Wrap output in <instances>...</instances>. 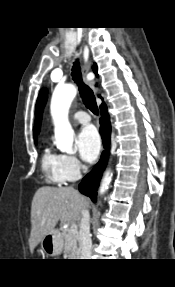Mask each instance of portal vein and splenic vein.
Returning <instances> with one entry per match:
<instances>
[{
  "label": "portal vein and splenic vein",
  "instance_id": "1",
  "mask_svg": "<svg viewBox=\"0 0 175 287\" xmlns=\"http://www.w3.org/2000/svg\"><path fill=\"white\" fill-rule=\"evenodd\" d=\"M70 232L71 233H75V232H77V226L76 225H72V226H70Z\"/></svg>",
  "mask_w": 175,
  "mask_h": 287
}]
</instances>
